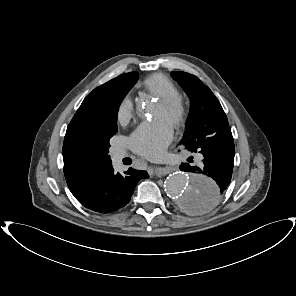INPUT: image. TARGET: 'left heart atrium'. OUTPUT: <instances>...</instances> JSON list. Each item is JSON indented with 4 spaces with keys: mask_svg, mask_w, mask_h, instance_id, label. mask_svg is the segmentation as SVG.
Here are the masks:
<instances>
[{
    "mask_svg": "<svg viewBox=\"0 0 296 296\" xmlns=\"http://www.w3.org/2000/svg\"><path fill=\"white\" fill-rule=\"evenodd\" d=\"M173 127L163 118L140 124L130 135L129 144L138 154L148 157H157L171 142Z\"/></svg>",
    "mask_w": 296,
    "mask_h": 296,
    "instance_id": "obj_1",
    "label": "left heart atrium"
}]
</instances>
